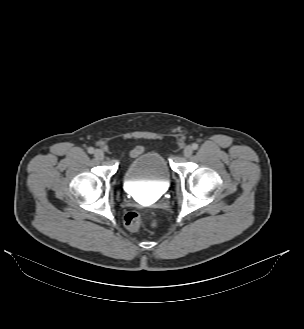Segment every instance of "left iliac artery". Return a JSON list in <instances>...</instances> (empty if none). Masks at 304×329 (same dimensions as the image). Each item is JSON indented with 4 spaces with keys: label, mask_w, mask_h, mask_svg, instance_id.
Masks as SVG:
<instances>
[{
    "label": "left iliac artery",
    "mask_w": 304,
    "mask_h": 329,
    "mask_svg": "<svg viewBox=\"0 0 304 329\" xmlns=\"http://www.w3.org/2000/svg\"><path fill=\"white\" fill-rule=\"evenodd\" d=\"M192 148H193L194 150L198 149V144L193 143V144H192Z\"/></svg>",
    "instance_id": "obj_1"
}]
</instances>
